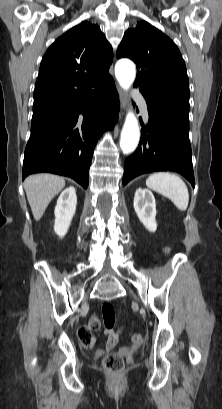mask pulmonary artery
<instances>
[{"label": "pulmonary artery", "instance_id": "e3ab8cb5", "mask_svg": "<svg viewBox=\"0 0 222 409\" xmlns=\"http://www.w3.org/2000/svg\"><path fill=\"white\" fill-rule=\"evenodd\" d=\"M135 98L138 102V105L142 111L144 118L147 119L148 118L147 103L144 97L139 93H135Z\"/></svg>", "mask_w": 222, "mask_h": 409}]
</instances>
